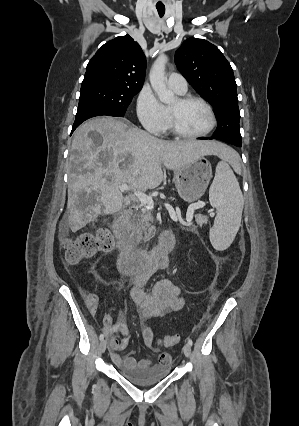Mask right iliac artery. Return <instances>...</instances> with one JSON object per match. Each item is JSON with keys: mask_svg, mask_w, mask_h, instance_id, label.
<instances>
[{"mask_svg": "<svg viewBox=\"0 0 299 426\" xmlns=\"http://www.w3.org/2000/svg\"><path fill=\"white\" fill-rule=\"evenodd\" d=\"M99 339H100V340H103V339H104V334H103V333H102V334H100Z\"/></svg>", "mask_w": 299, "mask_h": 426, "instance_id": "right-iliac-artery-1", "label": "right iliac artery"}]
</instances>
